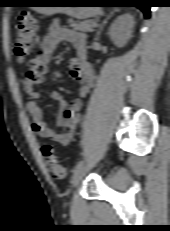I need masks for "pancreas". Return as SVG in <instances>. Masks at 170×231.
<instances>
[{"label": "pancreas", "instance_id": "pancreas-1", "mask_svg": "<svg viewBox=\"0 0 170 231\" xmlns=\"http://www.w3.org/2000/svg\"><path fill=\"white\" fill-rule=\"evenodd\" d=\"M70 27L75 30L82 31V32H92L93 27L95 26L94 20H85V21H73L72 19L68 20Z\"/></svg>", "mask_w": 170, "mask_h": 231}]
</instances>
